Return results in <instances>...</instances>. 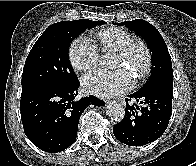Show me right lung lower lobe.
<instances>
[{
	"instance_id": "obj_1",
	"label": "right lung lower lobe",
	"mask_w": 196,
	"mask_h": 166,
	"mask_svg": "<svg viewBox=\"0 0 196 166\" xmlns=\"http://www.w3.org/2000/svg\"><path fill=\"white\" fill-rule=\"evenodd\" d=\"M79 86V81L68 87L42 82L22 85L20 110L24 132L39 149L55 153L71 146L85 108L105 104L92 95L76 101Z\"/></svg>"
}]
</instances>
